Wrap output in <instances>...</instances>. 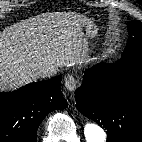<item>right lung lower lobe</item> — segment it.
<instances>
[{
    "mask_svg": "<svg viewBox=\"0 0 142 142\" xmlns=\"http://www.w3.org/2000/svg\"><path fill=\"white\" fill-rule=\"evenodd\" d=\"M61 80L57 76L0 93V142H36L37 129L47 114L67 107Z\"/></svg>",
    "mask_w": 142,
    "mask_h": 142,
    "instance_id": "obj_1",
    "label": "right lung lower lobe"
}]
</instances>
